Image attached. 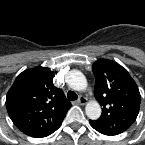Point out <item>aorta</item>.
<instances>
[{
  "label": "aorta",
  "instance_id": "762f6f07",
  "mask_svg": "<svg viewBox=\"0 0 145 145\" xmlns=\"http://www.w3.org/2000/svg\"><path fill=\"white\" fill-rule=\"evenodd\" d=\"M68 85L76 91H83L87 88V80L84 74L78 70H72L67 77ZM85 112L88 118L96 120L101 115V107L97 101H90L86 104Z\"/></svg>",
  "mask_w": 145,
  "mask_h": 145
}]
</instances>
